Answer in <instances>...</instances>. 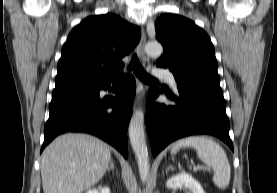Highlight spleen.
I'll return each instance as SVG.
<instances>
[{"instance_id":"obj_1","label":"spleen","mask_w":277,"mask_h":193,"mask_svg":"<svg viewBox=\"0 0 277 193\" xmlns=\"http://www.w3.org/2000/svg\"><path fill=\"white\" fill-rule=\"evenodd\" d=\"M182 147H193L198 158L214 171L213 182L219 189H226L230 182L231 169L223 148L205 136H190L176 141L171 148L175 154Z\"/></svg>"}]
</instances>
